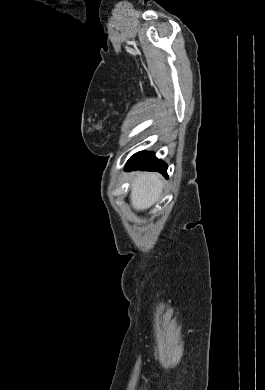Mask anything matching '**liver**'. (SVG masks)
<instances>
[{
	"instance_id": "6515ba94",
	"label": "liver",
	"mask_w": 265,
	"mask_h": 390,
	"mask_svg": "<svg viewBox=\"0 0 265 390\" xmlns=\"http://www.w3.org/2000/svg\"><path fill=\"white\" fill-rule=\"evenodd\" d=\"M163 180L157 173H137L131 185L130 200L133 208L138 211L153 206L162 193Z\"/></svg>"
}]
</instances>
